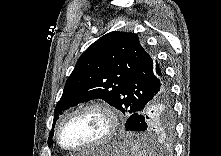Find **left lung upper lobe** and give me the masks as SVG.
<instances>
[{
  "mask_svg": "<svg viewBox=\"0 0 221 156\" xmlns=\"http://www.w3.org/2000/svg\"><path fill=\"white\" fill-rule=\"evenodd\" d=\"M164 72L134 33L113 31L80 56L66 81L55 115L79 103L103 99L132 115L156 94Z\"/></svg>",
  "mask_w": 221,
  "mask_h": 156,
  "instance_id": "5c2ea615",
  "label": "left lung upper lobe"
}]
</instances>
